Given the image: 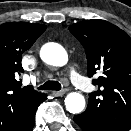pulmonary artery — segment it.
<instances>
[{
  "mask_svg": "<svg viewBox=\"0 0 131 131\" xmlns=\"http://www.w3.org/2000/svg\"><path fill=\"white\" fill-rule=\"evenodd\" d=\"M70 79L75 86L84 92H89L91 90V84L89 81L77 72L75 68L70 69Z\"/></svg>",
  "mask_w": 131,
  "mask_h": 131,
  "instance_id": "e3ab8cb5",
  "label": "pulmonary artery"
}]
</instances>
